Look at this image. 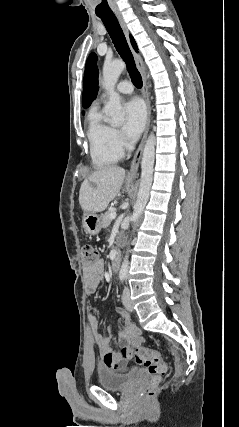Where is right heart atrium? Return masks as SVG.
<instances>
[{"instance_id":"obj_1","label":"right heart atrium","mask_w":239,"mask_h":427,"mask_svg":"<svg viewBox=\"0 0 239 427\" xmlns=\"http://www.w3.org/2000/svg\"><path fill=\"white\" fill-rule=\"evenodd\" d=\"M114 141L116 146L122 151L127 147L126 141L118 130H114Z\"/></svg>"}]
</instances>
